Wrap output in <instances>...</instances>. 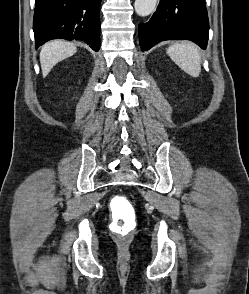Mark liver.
<instances>
[{"label": "liver", "mask_w": 249, "mask_h": 294, "mask_svg": "<svg viewBox=\"0 0 249 294\" xmlns=\"http://www.w3.org/2000/svg\"><path fill=\"white\" fill-rule=\"evenodd\" d=\"M76 51L75 44L62 40L50 41L43 45L40 52L43 77H46L58 62L72 56Z\"/></svg>", "instance_id": "1"}]
</instances>
